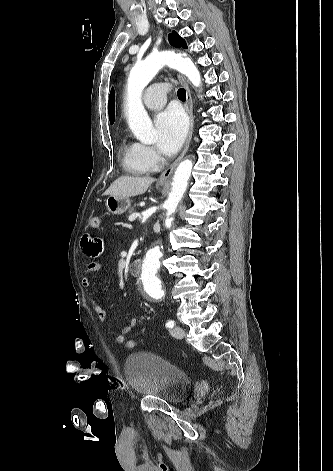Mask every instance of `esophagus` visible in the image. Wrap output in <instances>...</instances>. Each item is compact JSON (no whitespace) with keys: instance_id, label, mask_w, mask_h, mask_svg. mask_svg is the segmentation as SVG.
Returning a JSON list of instances; mask_svg holds the SVG:
<instances>
[{"instance_id":"obj_1","label":"esophagus","mask_w":333,"mask_h":471,"mask_svg":"<svg viewBox=\"0 0 333 471\" xmlns=\"http://www.w3.org/2000/svg\"><path fill=\"white\" fill-rule=\"evenodd\" d=\"M178 79L181 83V85L185 88L186 90V103H185V108H186V111L189 115V118H190V125H189V131H188V135H187V139H186V142H185V145H184V148L181 152V154L179 155V157L173 162V164L167 168L159 177V181L160 182H167L174 169L176 168V166L178 165V163L182 160V158L184 157V155L186 154L188 148H189V145H190V142H191V138H192V134H193V128H194V116H193V102H192V96H191V92H190V89H189V86L186 82V80L184 79V77L182 75H178Z\"/></svg>"}]
</instances>
